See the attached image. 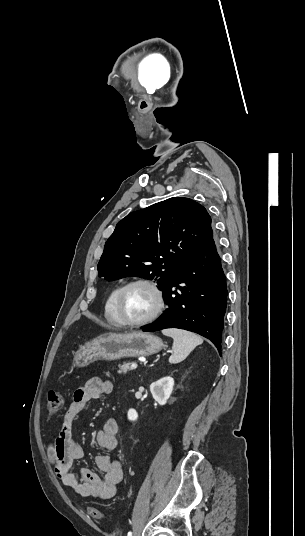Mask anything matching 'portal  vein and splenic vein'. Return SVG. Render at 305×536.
<instances>
[{"instance_id": "18ae733b", "label": "portal vein and splenic vein", "mask_w": 305, "mask_h": 536, "mask_svg": "<svg viewBox=\"0 0 305 536\" xmlns=\"http://www.w3.org/2000/svg\"><path fill=\"white\" fill-rule=\"evenodd\" d=\"M136 368H137V364H132L131 370H136Z\"/></svg>"}]
</instances>
